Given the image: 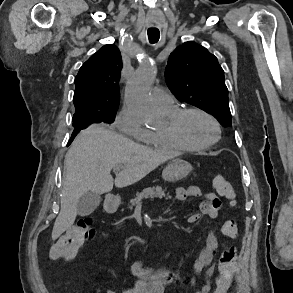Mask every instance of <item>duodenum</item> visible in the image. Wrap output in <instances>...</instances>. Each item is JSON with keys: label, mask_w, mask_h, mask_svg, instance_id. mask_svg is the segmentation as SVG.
Listing matches in <instances>:
<instances>
[{"label": "duodenum", "mask_w": 293, "mask_h": 293, "mask_svg": "<svg viewBox=\"0 0 293 293\" xmlns=\"http://www.w3.org/2000/svg\"><path fill=\"white\" fill-rule=\"evenodd\" d=\"M116 202L117 200L116 199H112L110 200L108 203H107V211H111L114 209V207L116 206Z\"/></svg>", "instance_id": "410a0bca"}]
</instances>
